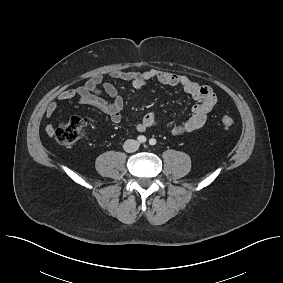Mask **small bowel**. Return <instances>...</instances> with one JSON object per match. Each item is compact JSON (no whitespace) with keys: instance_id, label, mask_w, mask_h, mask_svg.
<instances>
[{"instance_id":"small-bowel-1","label":"small bowel","mask_w":283,"mask_h":283,"mask_svg":"<svg viewBox=\"0 0 283 283\" xmlns=\"http://www.w3.org/2000/svg\"><path fill=\"white\" fill-rule=\"evenodd\" d=\"M110 76L113 79L130 82L135 88L145 87L150 81H157L161 84L179 87L196 103L190 109L189 117L182 123L171 124L169 130L173 135H182L196 131L204 126L208 115L214 105L217 97L213 89L207 85L200 84L183 74L166 72L160 69H147L142 72L115 70ZM101 89L110 98L102 95ZM77 98L82 105L94 107L107 115L113 123L121 121V113L124 107V100L119 95L116 87L103 77L96 75L88 79L84 85L74 89H68L60 92L58 100L65 101ZM58 109L57 102H50L45 107L47 118L52 117ZM160 119L155 112L146 113L143 118L135 124V130L143 133L149 128L160 125ZM53 126H47V132L51 134Z\"/></svg>"}]
</instances>
